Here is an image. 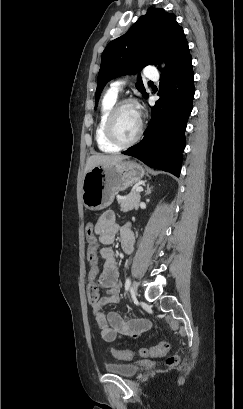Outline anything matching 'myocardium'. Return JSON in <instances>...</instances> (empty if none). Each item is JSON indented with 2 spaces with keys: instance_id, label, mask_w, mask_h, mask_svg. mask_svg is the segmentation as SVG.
<instances>
[{
  "instance_id": "myocardium-1",
  "label": "myocardium",
  "mask_w": 243,
  "mask_h": 409,
  "mask_svg": "<svg viewBox=\"0 0 243 409\" xmlns=\"http://www.w3.org/2000/svg\"><path fill=\"white\" fill-rule=\"evenodd\" d=\"M126 106H133L139 110L138 104L131 99H123L121 101H118L115 103V105L112 107L110 110L107 119L105 121V134L108 140L114 144L115 146L120 147H127L135 144L143 135L144 132V122L142 117L140 116V127L137 132V134L129 139V140H123L117 133L116 127H115V120L118 115V113Z\"/></svg>"
}]
</instances>
